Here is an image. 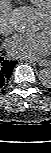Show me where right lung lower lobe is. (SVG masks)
Instances as JSON below:
<instances>
[{
	"label": "right lung lower lobe",
	"instance_id": "98d812e1",
	"mask_svg": "<svg viewBox=\"0 0 51 153\" xmlns=\"http://www.w3.org/2000/svg\"><path fill=\"white\" fill-rule=\"evenodd\" d=\"M16 64L17 61L4 60V58L0 55V88L8 82Z\"/></svg>",
	"mask_w": 51,
	"mask_h": 153
}]
</instances>
